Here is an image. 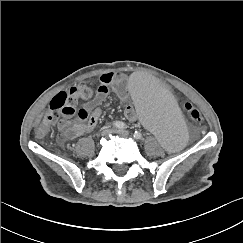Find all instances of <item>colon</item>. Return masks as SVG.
Segmentation results:
<instances>
[{
	"mask_svg": "<svg viewBox=\"0 0 243 243\" xmlns=\"http://www.w3.org/2000/svg\"><path fill=\"white\" fill-rule=\"evenodd\" d=\"M92 94V89L86 84L58 93L51 100L43 122L37 129V133L40 136L46 134L61 114H74L78 102L90 99ZM181 110L195 123L202 122L203 114L189 102H184L181 105Z\"/></svg>",
	"mask_w": 243,
	"mask_h": 243,
	"instance_id": "obj_1",
	"label": "colon"
}]
</instances>
